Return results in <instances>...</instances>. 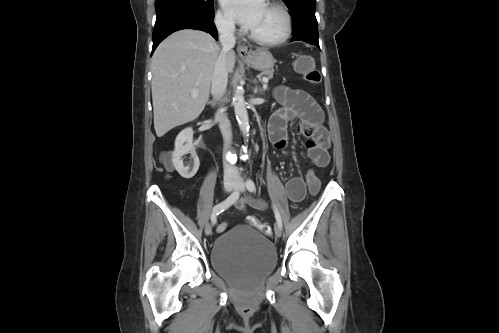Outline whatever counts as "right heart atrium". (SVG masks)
I'll list each match as a JSON object with an SVG mask.
<instances>
[{
    "mask_svg": "<svg viewBox=\"0 0 499 333\" xmlns=\"http://www.w3.org/2000/svg\"><path fill=\"white\" fill-rule=\"evenodd\" d=\"M214 24L217 30L223 34L232 35L235 32V25L232 20L220 10L215 14Z\"/></svg>",
    "mask_w": 499,
    "mask_h": 333,
    "instance_id": "obj_1",
    "label": "right heart atrium"
}]
</instances>
